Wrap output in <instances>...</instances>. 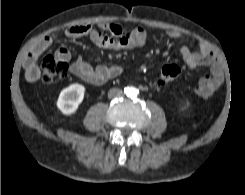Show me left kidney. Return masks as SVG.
Segmentation results:
<instances>
[{
	"instance_id": "left-kidney-1",
	"label": "left kidney",
	"mask_w": 245,
	"mask_h": 195,
	"mask_svg": "<svg viewBox=\"0 0 245 195\" xmlns=\"http://www.w3.org/2000/svg\"><path fill=\"white\" fill-rule=\"evenodd\" d=\"M182 109H186V106L184 105V106L182 107Z\"/></svg>"
}]
</instances>
